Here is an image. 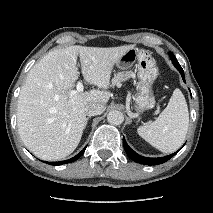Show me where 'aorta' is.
Here are the masks:
<instances>
[{"label": "aorta", "instance_id": "762f6f07", "mask_svg": "<svg viewBox=\"0 0 213 213\" xmlns=\"http://www.w3.org/2000/svg\"><path fill=\"white\" fill-rule=\"evenodd\" d=\"M107 121L112 125H120L124 121V115L117 110L110 111L107 115Z\"/></svg>", "mask_w": 213, "mask_h": 213}]
</instances>
